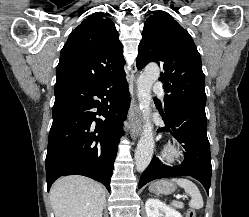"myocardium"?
Masks as SVG:
<instances>
[{"instance_id":"1","label":"myocardium","mask_w":249,"mask_h":217,"mask_svg":"<svg viewBox=\"0 0 249 217\" xmlns=\"http://www.w3.org/2000/svg\"><path fill=\"white\" fill-rule=\"evenodd\" d=\"M182 150L176 144H167L163 150L162 157L168 163H175L182 157Z\"/></svg>"}]
</instances>
